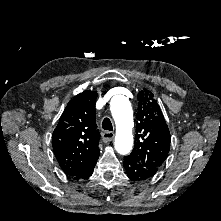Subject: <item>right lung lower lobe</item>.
Segmentation results:
<instances>
[{
  "label": "right lung lower lobe",
  "instance_id": "98d812e1",
  "mask_svg": "<svg viewBox=\"0 0 221 221\" xmlns=\"http://www.w3.org/2000/svg\"><path fill=\"white\" fill-rule=\"evenodd\" d=\"M97 160L88 169H86L85 172H83L80 176H77V177H75L73 179H75V180H85V179H88L92 175V173H93V170H94V167L96 165Z\"/></svg>",
  "mask_w": 221,
  "mask_h": 221
}]
</instances>
